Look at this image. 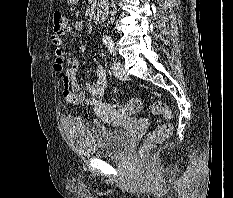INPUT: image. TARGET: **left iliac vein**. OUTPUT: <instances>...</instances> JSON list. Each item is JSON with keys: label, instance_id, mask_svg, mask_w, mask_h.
<instances>
[{"label": "left iliac vein", "instance_id": "obj_1", "mask_svg": "<svg viewBox=\"0 0 233 198\" xmlns=\"http://www.w3.org/2000/svg\"><path fill=\"white\" fill-rule=\"evenodd\" d=\"M112 71L113 74L115 75V77H117L120 80H126L127 79V74L126 71L124 69V66L118 62L115 61L112 65Z\"/></svg>", "mask_w": 233, "mask_h": 198}]
</instances>
